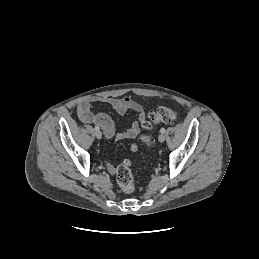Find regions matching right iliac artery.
<instances>
[{
	"label": "right iliac artery",
	"instance_id": "82829eb1",
	"mask_svg": "<svg viewBox=\"0 0 259 259\" xmlns=\"http://www.w3.org/2000/svg\"><path fill=\"white\" fill-rule=\"evenodd\" d=\"M99 129H100V128H99L98 126H95V130H96V131H99Z\"/></svg>",
	"mask_w": 259,
	"mask_h": 259
}]
</instances>
